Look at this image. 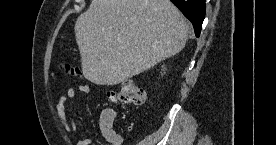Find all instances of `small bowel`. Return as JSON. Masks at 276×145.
Segmentation results:
<instances>
[{
	"label": "small bowel",
	"mask_w": 276,
	"mask_h": 145,
	"mask_svg": "<svg viewBox=\"0 0 276 145\" xmlns=\"http://www.w3.org/2000/svg\"><path fill=\"white\" fill-rule=\"evenodd\" d=\"M90 87L87 84L80 85L77 89L69 88L66 93L61 95L56 104V112L59 121L61 122L65 132L69 133L72 130H77L78 125L74 117L67 114L66 104L73 100L78 93L87 94ZM114 112L111 110H104L100 114L99 127L102 136L110 145H122L123 138L114 129ZM78 145H92V140L84 138L78 142Z\"/></svg>",
	"instance_id": "obj_1"
}]
</instances>
